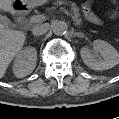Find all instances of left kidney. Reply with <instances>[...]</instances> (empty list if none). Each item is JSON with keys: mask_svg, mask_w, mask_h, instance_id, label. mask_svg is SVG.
<instances>
[{"mask_svg": "<svg viewBox=\"0 0 119 119\" xmlns=\"http://www.w3.org/2000/svg\"><path fill=\"white\" fill-rule=\"evenodd\" d=\"M93 49L100 53L103 60L99 61L92 56L90 49L85 46L81 48L80 54L83 62L93 70H107L119 63V53L108 42L103 40H95L93 42Z\"/></svg>", "mask_w": 119, "mask_h": 119, "instance_id": "5707ae66", "label": "left kidney"}]
</instances>
